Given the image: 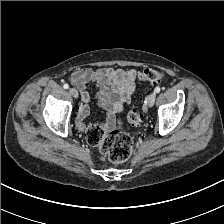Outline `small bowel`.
Returning a JSON list of instances; mask_svg holds the SVG:
<instances>
[{"mask_svg":"<svg viewBox=\"0 0 224 224\" xmlns=\"http://www.w3.org/2000/svg\"><path fill=\"white\" fill-rule=\"evenodd\" d=\"M136 78L137 71L134 69L83 68L74 71L71 82L80 90L82 100L76 118L77 127L79 129L85 127V119L90 112L88 103L91 96L87 89L90 84L96 85L99 104L112 115L130 103ZM109 123L111 124L112 121L110 120Z\"/></svg>","mask_w":224,"mask_h":224,"instance_id":"1","label":"small bowel"}]
</instances>
